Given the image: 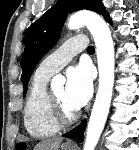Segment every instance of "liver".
Listing matches in <instances>:
<instances>
[{
	"instance_id": "liver-1",
	"label": "liver",
	"mask_w": 139,
	"mask_h": 150,
	"mask_svg": "<svg viewBox=\"0 0 139 150\" xmlns=\"http://www.w3.org/2000/svg\"><path fill=\"white\" fill-rule=\"evenodd\" d=\"M62 142V138L46 139L38 143L34 150H58Z\"/></svg>"
}]
</instances>
